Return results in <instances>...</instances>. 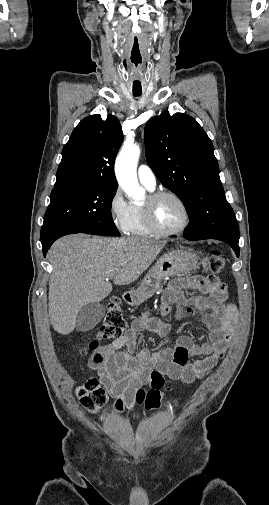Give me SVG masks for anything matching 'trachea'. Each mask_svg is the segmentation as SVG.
I'll return each instance as SVG.
<instances>
[{
    "mask_svg": "<svg viewBox=\"0 0 269 505\" xmlns=\"http://www.w3.org/2000/svg\"><path fill=\"white\" fill-rule=\"evenodd\" d=\"M141 94H142L141 92H133L134 96H141Z\"/></svg>",
    "mask_w": 269,
    "mask_h": 505,
    "instance_id": "3493384b",
    "label": "trachea"
}]
</instances>
